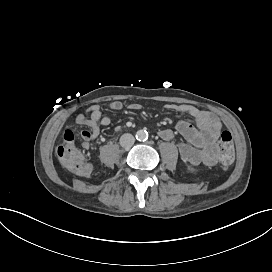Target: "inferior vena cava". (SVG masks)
Returning <instances> with one entry per match:
<instances>
[{
    "label": "inferior vena cava",
    "instance_id": "inferior-vena-cava-1",
    "mask_svg": "<svg viewBox=\"0 0 272 272\" xmlns=\"http://www.w3.org/2000/svg\"><path fill=\"white\" fill-rule=\"evenodd\" d=\"M135 138L130 133H125L120 138V145L124 148H130L133 146Z\"/></svg>",
    "mask_w": 272,
    "mask_h": 272
}]
</instances>
